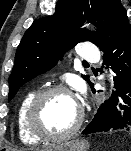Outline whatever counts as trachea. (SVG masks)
<instances>
[{"instance_id": "1", "label": "trachea", "mask_w": 131, "mask_h": 151, "mask_svg": "<svg viewBox=\"0 0 131 151\" xmlns=\"http://www.w3.org/2000/svg\"><path fill=\"white\" fill-rule=\"evenodd\" d=\"M83 64H84V65H88V63H87V62H85V61L83 62Z\"/></svg>"}]
</instances>
